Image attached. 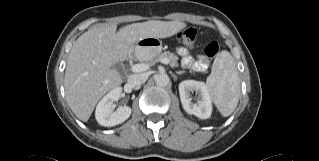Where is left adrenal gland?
<instances>
[{
    "mask_svg": "<svg viewBox=\"0 0 319 161\" xmlns=\"http://www.w3.org/2000/svg\"><path fill=\"white\" fill-rule=\"evenodd\" d=\"M183 73H185V71H179V72H177L178 75H181V74H183Z\"/></svg>",
    "mask_w": 319,
    "mask_h": 161,
    "instance_id": "1",
    "label": "left adrenal gland"
}]
</instances>
